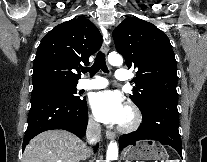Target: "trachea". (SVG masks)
Segmentation results:
<instances>
[{
	"mask_svg": "<svg viewBox=\"0 0 207 162\" xmlns=\"http://www.w3.org/2000/svg\"><path fill=\"white\" fill-rule=\"evenodd\" d=\"M102 70L104 72H108L106 60H105V54L101 51L97 53V56L95 58V62L92 67L90 68H84L82 69L83 73L89 72L90 76H94L99 70Z\"/></svg>",
	"mask_w": 207,
	"mask_h": 162,
	"instance_id": "trachea-1",
	"label": "trachea"
}]
</instances>
